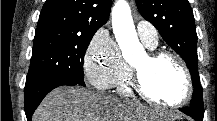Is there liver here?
Segmentation results:
<instances>
[{
	"instance_id": "6515ba94",
	"label": "liver",
	"mask_w": 217,
	"mask_h": 121,
	"mask_svg": "<svg viewBox=\"0 0 217 121\" xmlns=\"http://www.w3.org/2000/svg\"><path fill=\"white\" fill-rule=\"evenodd\" d=\"M152 118L151 112L131 101L62 86L43 99L32 121H147Z\"/></svg>"
}]
</instances>
